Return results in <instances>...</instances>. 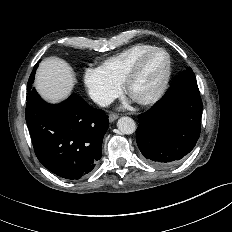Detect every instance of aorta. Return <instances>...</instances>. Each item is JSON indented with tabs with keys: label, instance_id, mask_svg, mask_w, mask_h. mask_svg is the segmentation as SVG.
<instances>
[{
	"label": "aorta",
	"instance_id": "aorta-1",
	"mask_svg": "<svg viewBox=\"0 0 232 232\" xmlns=\"http://www.w3.org/2000/svg\"><path fill=\"white\" fill-rule=\"evenodd\" d=\"M117 127L123 134H132L136 130L135 121L130 117H121L117 122Z\"/></svg>",
	"mask_w": 232,
	"mask_h": 232
}]
</instances>
